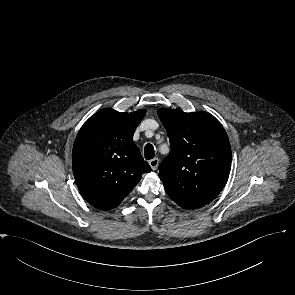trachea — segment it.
Listing matches in <instances>:
<instances>
[{
	"mask_svg": "<svg viewBox=\"0 0 295 295\" xmlns=\"http://www.w3.org/2000/svg\"><path fill=\"white\" fill-rule=\"evenodd\" d=\"M145 159L150 160L155 156L154 147L152 144H146L144 148Z\"/></svg>",
	"mask_w": 295,
	"mask_h": 295,
	"instance_id": "1",
	"label": "trachea"
}]
</instances>
